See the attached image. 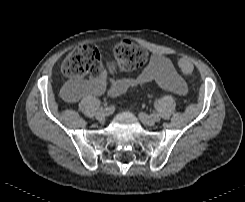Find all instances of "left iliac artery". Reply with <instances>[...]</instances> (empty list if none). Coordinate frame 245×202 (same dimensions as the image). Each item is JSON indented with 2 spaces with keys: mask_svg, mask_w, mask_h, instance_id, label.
<instances>
[{
  "mask_svg": "<svg viewBox=\"0 0 245 202\" xmlns=\"http://www.w3.org/2000/svg\"><path fill=\"white\" fill-rule=\"evenodd\" d=\"M154 117H155V119H157V120H158V119H159V114H155V116H154Z\"/></svg>",
  "mask_w": 245,
  "mask_h": 202,
  "instance_id": "left-iliac-artery-1",
  "label": "left iliac artery"
}]
</instances>
